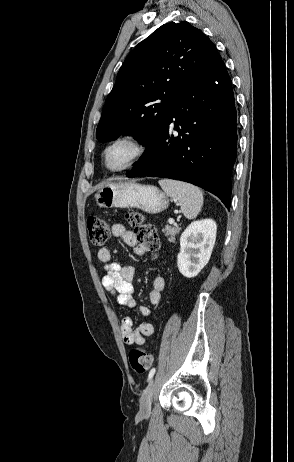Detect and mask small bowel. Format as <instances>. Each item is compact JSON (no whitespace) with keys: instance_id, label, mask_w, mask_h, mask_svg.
Here are the masks:
<instances>
[{"instance_id":"1","label":"small bowel","mask_w":294,"mask_h":462,"mask_svg":"<svg viewBox=\"0 0 294 462\" xmlns=\"http://www.w3.org/2000/svg\"><path fill=\"white\" fill-rule=\"evenodd\" d=\"M114 236L120 238L125 245L133 248L138 256L147 253V249L140 244L133 232L127 230L122 224H115L112 227ZM98 260L104 265L105 275L102 278L103 287L113 296L118 304L133 308L137 306V297L133 286L135 277V268L131 265H120L112 260L111 251L108 248H100L97 252ZM165 279L162 276H156L153 279L152 289L148 294L150 304H158L161 300V294L165 289ZM142 315L150 314L148 307L140 306ZM121 335L126 344L144 345L146 338L154 334L155 328L151 323H142L136 329L133 327V321L130 316L123 317L121 321Z\"/></svg>"}]
</instances>
